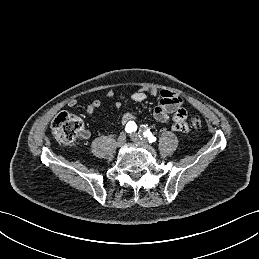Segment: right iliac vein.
<instances>
[{"label":"right iliac vein","mask_w":259,"mask_h":259,"mask_svg":"<svg viewBox=\"0 0 259 259\" xmlns=\"http://www.w3.org/2000/svg\"><path fill=\"white\" fill-rule=\"evenodd\" d=\"M125 142H126V135L123 133L118 137L116 144L117 146L120 147V146H123Z\"/></svg>","instance_id":"right-iliac-vein-1"}]
</instances>
